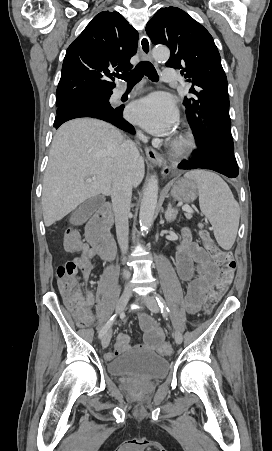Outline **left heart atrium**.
<instances>
[{
  "label": "left heart atrium",
  "mask_w": 272,
  "mask_h": 451,
  "mask_svg": "<svg viewBox=\"0 0 272 451\" xmlns=\"http://www.w3.org/2000/svg\"><path fill=\"white\" fill-rule=\"evenodd\" d=\"M128 117L156 135L166 134L177 122V110L170 98L155 94L135 102Z\"/></svg>",
  "instance_id": "left-heart-atrium-1"
}]
</instances>
